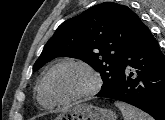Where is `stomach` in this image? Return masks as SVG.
<instances>
[{
    "label": "stomach",
    "instance_id": "1",
    "mask_svg": "<svg viewBox=\"0 0 165 120\" xmlns=\"http://www.w3.org/2000/svg\"><path fill=\"white\" fill-rule=\"evenodd\" d=\"M116 114L91 104L81 103L59 114L55 120H116Z\"/></svg>",
    "mask_w": 165,
    "mask_h": 120
}]
</instances>
